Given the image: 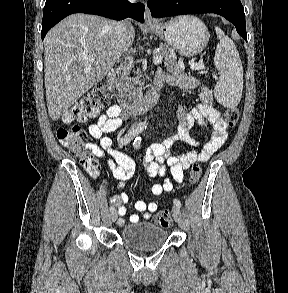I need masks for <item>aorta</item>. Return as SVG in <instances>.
<instances>
[{
	"label": "aorta",
	"mask_w": 288,
	"mask_h": 293,
	"mask_svg": "<svg viewBox=\"0 0 288 293\" xmlns=\"http://www.w3.org/2000/svg\"><path fill=\"white\" fill-rule=\"evenodd\" d=\"M146 124H147L146 122L143 123L144 126H146Z\"/></svg>",
	"instance_id": "obj_1"
}]
</instances>
